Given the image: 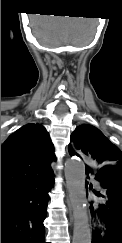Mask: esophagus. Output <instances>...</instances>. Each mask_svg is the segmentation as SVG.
<instances>
[{
    "instance_id": "esophagus-1",
    "label": "esophagus",
    "mask_w": 122,
    "mask_h": 243,
    "mask_svg": "<svg viewBox=\"0 0 122 243\" xmlns=\"http://www.w3.org/2000/svg\"><path fill=\"white\" fill-rule=\"evenodd\" d=\"M67 204H68V208H69L70 220L73 223L74 222V209H73L72 203L70 202L69 199H67Z\"/></svg>"
}]
</instances>
